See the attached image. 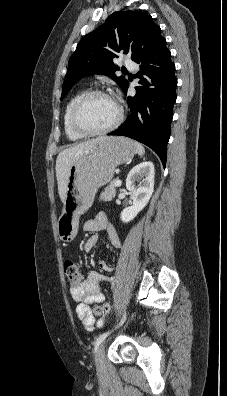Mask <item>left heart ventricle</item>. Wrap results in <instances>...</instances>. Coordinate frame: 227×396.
Segmentation results:
<instances>
[{"mask_svg": "<svg viewBox=\"0 0 227 396\" xmlns=\"http://www.w3.org/2000/svg\"><path fill=\"white\" fill-rule=\"evenodd\" d=\"M118 115L117 104L104 96H92L82 105L79 118L88 129L99 130L109 126Z\"/></svg>", "mask_w": 227, "mask_h": 396, "instance_id": "left-heart-ventricle-1", "label": "left heart ventricle"}]
</instances>
